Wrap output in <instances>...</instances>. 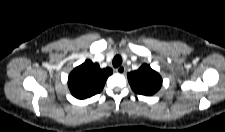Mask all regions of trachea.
Listing matches in <instances>:
<instances>
[{"instance_id":"3493384b","label":"trachea","mask_w":225,"mask_h":132,"mask_svg":"<svg viewBox=\"0 0 225 132\" xmlns=\"http://www.w3.org/2000/svg\"><path fill=\"white\" fill-rule=\"evenodd\" d=\"M112 64L115 68L119 67L122 64V58L120 55H116L113 58Z\"/></svg>"}]
</instances>
